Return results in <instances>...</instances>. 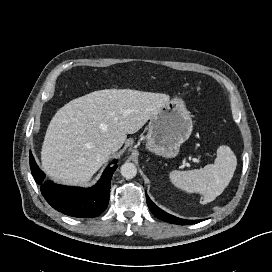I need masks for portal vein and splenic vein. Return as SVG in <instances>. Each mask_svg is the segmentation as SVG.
Segmentation results:
<instances>
[{"mask_svg": "<svg viewBox=\"0 0 272 272\" xmlns=\"http://www.w3.org/2000/svg\"><path fill=\"white\" fill-rule=\"evenodd\" d=\"M192 160H193V162H197V163L200 162L199 159H196V158H193Z\"/></svg>", "mask_w": 272, "mask_h": 272, "instance_id": "18ae733b", "label": "portal vein and splenic vein"}]
</instances>
